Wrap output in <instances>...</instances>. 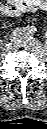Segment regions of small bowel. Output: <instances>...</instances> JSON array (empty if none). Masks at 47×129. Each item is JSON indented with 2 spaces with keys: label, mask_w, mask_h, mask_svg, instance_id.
Masks as SVG:
<instances>
[{
  "label": "small bowel",
  "mask_w": 47,
  "mask_h": 129,
  "mask_svg": "<svg viewBox=\"0 0 47 129\" xmlns=\"http://www.w3.org/2000/svg\"><path fill=\"white\" fill-rule=\"evenodd\" d=\"M46 9V0H4L0 4V13L5 17H18L26 12Z\"/></svg>",
  "instance_id": "obj_1"
}]
</instances>
